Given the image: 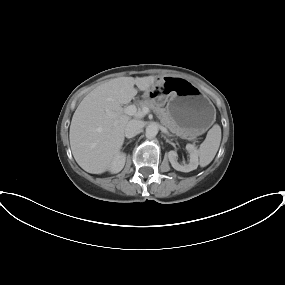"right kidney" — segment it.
<instances>
[{
    "label": "right kidney",
    "instance_id": "1",
    "mask_svg": "<svg viewBox=\"0 0 285 285\" xmlns=\"http://www.w3.org/2000/svg\"><path fill=\"white\" fill-rule=\"evenodd\" d=\"M125 161H126V154L125 153H119L115 159L112 161V163L109 166V171L111 173H118L120 172L124 165H125Z\"/></svg>",
    "mask_w": 285,
    "mask_h": 285
}]
</instances>
